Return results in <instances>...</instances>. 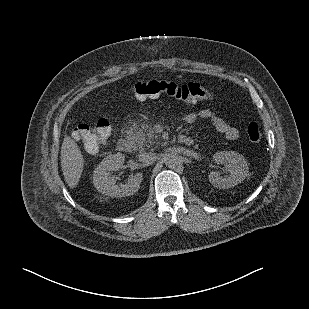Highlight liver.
<instances>
[{
	"label": "liver",
	"instance_id": "obj_1",
	"mask_svg": "<svg viewBox=\"0 0 309 309\" xmlns=\"http://www.w3.org/2000/svg\"><path fill=\"white\" fill-rule=\"evenodd\" d=\"M84 166L79 147L70 137H65L61 149V167L66 183L70 188L77 186Z\"/></svg>",
	"mask_w": 309,
	"mask_h": 309
}]
</instances>
